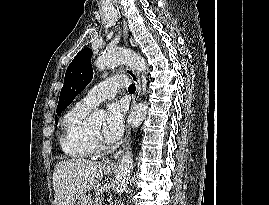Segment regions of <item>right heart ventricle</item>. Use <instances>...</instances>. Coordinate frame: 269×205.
<instances>
[{
	"label": "right heart ventricle",
	"instance_id": "obj_1",
	"mask_svg": "<svg viewBox=\"0 0 269 205\" xmlns=\"http://www.w3.org/2000/svg\"><path fill=\"white\" fill-rule=\"evenodd\" d=\"M88 112V109L77 104L62 119L60 147L70 159L82 160L93 155L94 151L90 144L87 130L83 126Z\"/></svg>",
	"mask_w": 269,
	"mask_h": 205
}]
</instances>
